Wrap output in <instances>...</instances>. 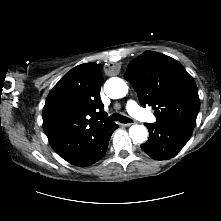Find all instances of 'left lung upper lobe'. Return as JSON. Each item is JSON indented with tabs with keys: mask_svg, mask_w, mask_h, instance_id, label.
<instances>
[{
	"mask_svg": "<svg viewBox=\"0 0 221 221\" xmlns=\"http://www.w3.org/2000/svg\"><path fill=\"white\" fill-rule=\"evenodd\" d=\"M142 106H152L158 123L195 125L200 109L198 89L192 76L175 59L146 51L127 67Z\"/></svg>",
	"mask_w": 221,
	"mask_h": 221,
	"instance_id": "left-lung-upper-lobe-1",
	"label": "left lung upper lobe"
}]
</instances>
